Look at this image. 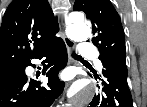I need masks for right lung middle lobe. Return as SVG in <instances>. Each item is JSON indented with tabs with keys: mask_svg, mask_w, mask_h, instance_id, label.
I'll return each mask as SVG.
<instances>
[{
	"mask_svg": "<svg viewBox=\"0 0 147 107\" xmlns=\"http://www.w3.org/2000/svg\"><path fill=\"white\" fill-rule=\"evenodd\" d=\"M23 69V67H9L5 69H0V80L6 78L9 75H12L16 72H19Z\"/></svg>",
	"mask_w": 147,
	"mask_h": 107,
	"instance_id": "1",
	"label": "right lung middle lobe"
}]
</instances>
